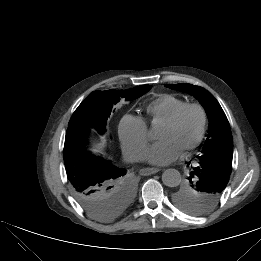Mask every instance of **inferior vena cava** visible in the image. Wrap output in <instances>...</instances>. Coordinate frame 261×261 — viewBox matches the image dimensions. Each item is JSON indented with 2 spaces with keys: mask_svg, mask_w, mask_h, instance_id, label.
Here are the masks:
<instances>
[{
  "mask_svg": "<svg viewBox=\"0 0 261 261\" xmlns=\"http://www.w3.org/2000/svg\"><path fill=\"white\" fill-rule=\"evenodd\" d=\"M123 158L126 162H135V161H139L140 156L135 152L124 151Z\"/></svg>",
  "mask_w": 261,
  "mask_h": 261,
  "instance_id": "obj_1",
  "label": "inferior vena cava"
}]
</instances>
